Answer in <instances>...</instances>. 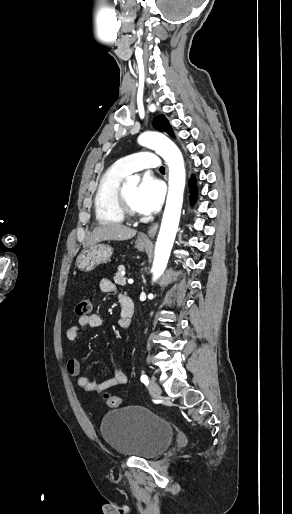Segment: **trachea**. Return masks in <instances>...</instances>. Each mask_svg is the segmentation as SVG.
I'll use <instances>...</instances> for the list:
<instances>
[{
	"mask_svg": "<svg viewBox=\"0 0 292 514\" xmlns=\"http://www.w3.org/2000/svg\"><path fill=\"white\" fill-rule=\"evenodd\" d=\"M160 170L161 171H165V167H160Z\"/></svg>",
	"mask_w": 292,
	"mask_h": 514,
	"instance_id": "1",
	"label": "trachea"
}]
</instances>
